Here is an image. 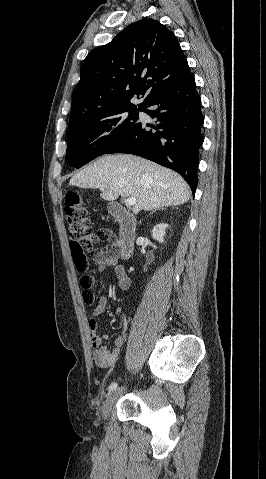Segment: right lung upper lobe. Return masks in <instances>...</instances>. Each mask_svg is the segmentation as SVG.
<instances>
[{
  "label": "right lung upper lobe",
  "mask_w": 266,
  "mask_h": 479,
  "mask_svg": "<svg viewBox=\"0 0 266 479\" xmlns=\"http://www.w3.org/2000/svg\"><path fill=\"white\" fill-rule=\"evenodd\" d=\"M190 74L187 59L174 36L154 19L126 27L110 43L91 51L81 66L69 121L116 108L137 107L130 99L144 97Z\"/></svg>",
  "instance_id": "obj_1"
}]
</instances>
